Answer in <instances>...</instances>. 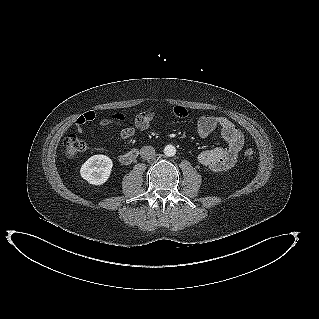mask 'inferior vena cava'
<instances>
[{
  "instance_id": "1",
  "label": "inferior vena cava",
  "mask_w": 319,
  "mask_h": 319,
  "mask_svg": "<svg viewBox=\"0 0 319 319\" xmlns=\"http://www.w3.org/2000/svg\"><path fill=\"white\" fill-rule=\"evenodd\" d=\"M140 155L143 159H151L155 155V149L152 146H144L140 150Z\"/></svg>"
}]
</instances>
